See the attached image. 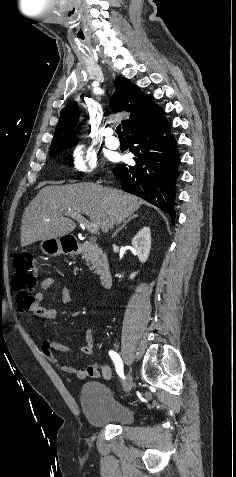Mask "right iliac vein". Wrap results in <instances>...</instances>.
Masks as SVG:
<instances>
[{
  "mask_svg": "<svg viewBox=\"0 0 236 477\" xmlns=\"http://www.w3.org/2000/svg\"><path fill=\"white\" fill-rule=\"evenodd\" d=\"M132 384H133V378H132V375L130 373H128L127 375V383L126 385L125 384H122L119 386V389H123L124 390V397L123 398H120V399H126V397H129L130 396V392H133V389H131L132 387ZM128 390V392H127ZM125 392H127L125 394Z\"/></svg>",
  "mask_w": 236,
  "mask_h": 477,
  "instance_id": "63e3f726",
  "label": "right iliac vein"
}]
</instances>
